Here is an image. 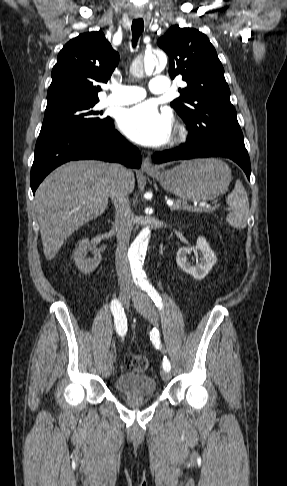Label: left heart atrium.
Returning a JSON list of instances; mask_svg holds the SVG:
<instances>
[{
    "label": "left heart atrium",
    "instance_id": "left-heart-atrium-1",
    "mask_svg": "<svg viewBox=\"0 0 287 486\" xmlns=\"http://www.w3.org/2000/svg\"><path fill=\"white\" fill-rule=\"evenodd\" d=\"M122 132L131 140L146 146L166 143L171 135L172 120L168 113H161L151 102H144L125 109L120 118Z\"/></svg>",
    "mask_w": 287,
    "mask_h": 486
}]
</instances>
